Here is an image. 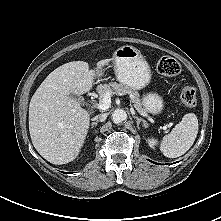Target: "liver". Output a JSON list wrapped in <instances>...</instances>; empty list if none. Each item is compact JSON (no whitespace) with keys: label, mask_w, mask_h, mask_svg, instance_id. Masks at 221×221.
<instances>
[{"label":"liver","mask_w":221,"mask_h":221,"mask_svg":"<svg viewBox=\"0 0 221 221\" xmlns=\"http://www.w3.org/2000/svg\"><path fill=\"white\" fill-rule=\"evenodd\" d=\"M110 59L97 63V69ZM95 78L84 61H73L52 71L38 87L29 104V132L37 152L52 164L73 161L81 151L90 114L70 94L88 92Z\"/></svg>","instance_id":"obj_1"}]
</instances>
